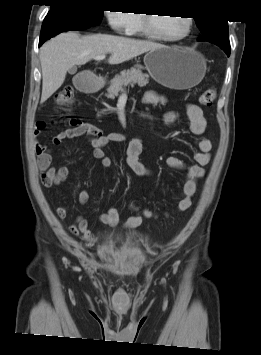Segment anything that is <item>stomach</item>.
<instances>
[{
  "instance_id": "stomach-1",
  "label": "stomach",
  "mask_w": 261,
  "mask_h": 355,
  "mask_svg": "<svg viewBox=\"0 0 261 355\" xmlns=\"http://www.w3.org/2000/svg\"><path fill=\"white\" fill-rule=\"evenodd\" d=\"M150 76L161 85L183 90L196 86L206 73L204 57L191 48L173 46L150 50L144 57ZM103 81L91 77L86 87L96 89Z\"/></svg>"
}]
</instances>
